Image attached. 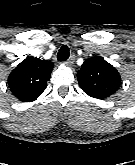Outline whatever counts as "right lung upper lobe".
Segmentation results:
<instances>
[{
	"label": "right lung upper lobe",
	"instance_id": "right-lung-upper-lobe-1",
	"mask_svg": "<svg viewBox=\"0 0 135 165\" xmlns=\"http://www.w3.org/2000/svg\"><path fill=\"white\" fill-rule=\"evenodd\" d=\"M52 69L51 62L32 57L26 58L8 77L11 92L24 102L36 100L44 92Z\"/></svg>",
	"mask_w": 135,
	"mask_h": 165
}]
</instances>
